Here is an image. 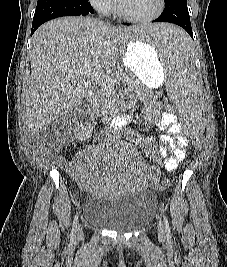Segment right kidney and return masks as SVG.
<instances>
[{"label":"right kidney","mask_w":227,"mask_h":267,"mask_svg":"<svg viewBox=\"0 0 227 267\" xmlns=\"http://www.w3.org/2000/svg\"><path fill=\"white\" fill-rule=\"evenodd\" d=\"M93 129L84 125H78L74 129V136L79 141H86L92 136Z\"/></svg>","instance_id":"1"}]
</instances>
